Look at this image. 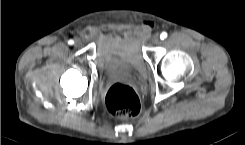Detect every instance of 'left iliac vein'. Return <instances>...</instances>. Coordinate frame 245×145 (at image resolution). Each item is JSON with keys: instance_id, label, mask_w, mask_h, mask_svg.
<instances>
[{"instance_id": "1", "label": "left iliac vein", "mask_w": 245, "mask_h": 145, "mask_svg": "<svg viewBox=\"0 0 245 145\" xmlns=\"http://www.w3.org/2000/svg\"><path fill=\"white\" fill-rule=\"evenodd\" d=\"M152 42L154 44H159L160 43V37L158 34H155L153 37H152Z\"/></svg>"}]
</instances>
